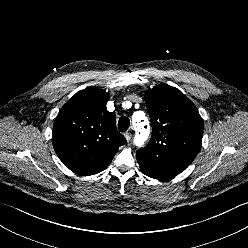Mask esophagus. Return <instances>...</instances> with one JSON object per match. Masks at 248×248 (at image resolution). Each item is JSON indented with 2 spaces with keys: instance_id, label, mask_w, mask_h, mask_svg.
Listing matches in <instances>:
<instances>
[{
  "instance_id": "obj_1",
  "label": "esophagus",
  "mask_w": 248,
  "mask_h": 248,
  "mask_svg": "<svg viewBox=\"0 0 248 248\" xmlns=\"http://www.w3.org/2000/svg\"><path fill=\"white\" fill-rule=\"evenodd\" d=\"M124 137L126 138L127 141L131 140L132 134L130 132H125Z\"/></svg>"
}]
</instances>
